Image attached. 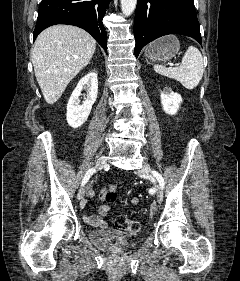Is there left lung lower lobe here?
Instances as JSON below:
<instances>
[{
	"mask_svg": "<svg viewBox=\"0 0 240 281\" xmlns=\"http://www.w3.org/2000/svg\"><path fill=\"white\" fill-rule=\"evenodd\" d=\"M133 31L136 57L146 44L167 34L190 36L201 43L194 0H138Z\"/></svg>",
	"mask_w": 240,
	"mask_h": 281,
	"instance_id": "0a47b994",
	"label": "left lung lower lobe"
}]
</instances>
